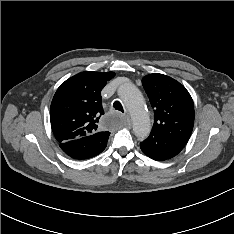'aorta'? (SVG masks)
Wrapping results in <instances>:
<instances>
[{"mask_svg":"<svg viewBox=\"0 0 234 234\" xmlns=\"http://www.w3.org/2000/svg\"><path fill=\"white\" fill-rule=\"evenodd\" d=\"M118 94L132 116L135 135L139 139L147 138L151 124L141 93L135 85L125 83L119 87Z\"/></svg>","mask_w":234,"mask_h":234,"instance_id":"762f6f07","label":"aorta"}]
</instances>
